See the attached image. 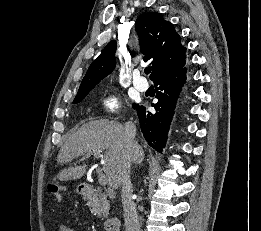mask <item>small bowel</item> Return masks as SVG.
I'll use <instances>...</instances> for the list:
<instances>
[{"instance_id":"c3829d8e","label":"small bowel","mask_w":261,"mask_h":231,"mask_svg":"<svg viewBox=\"0 0 261 231\" xmlns=\"http://www.w3.org/2000/svg\"><path fill=\"white\" fill-rule=\"evenodd\" d=\"M59 231H74V229L68 225H61Z\"/></svg>"}]
</instances>
